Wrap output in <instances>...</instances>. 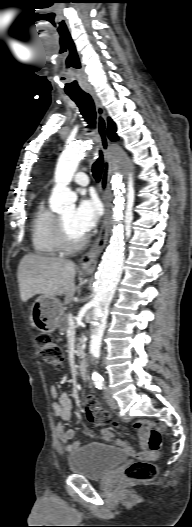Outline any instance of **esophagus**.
<instances>
[{"label": "esophagus", "instance_id": "34e87169", "mask_svg": "<svg viewBox=\"0 0 192 527\" xmlns=\"http://www.w3.org/2000/svg\"><path fill=\"white\" fill-rule=\"evenodd\" d=\"M88 93L94 100L97 112V131L100 138L103 154H104V164L103 172L100 183L101 197L105 206V212L103 217V222L101 225L100 232L90 248V250L83 255L80 260V267L85 272H92L96 268L98 257L103 251L109 233V178L111 171V155H110V141L107 136V121L104 108L100 104L96 94L89 90Z\"/></svg>", "mask_w": 192, "mask_h": 527}]
</instances>
